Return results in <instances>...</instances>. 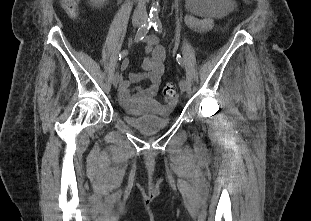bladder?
I'll return each mask as SVG.
<instances>
[{"instance_id": "1", "label": "bladder", "mask_w": 311, "mask_h": 221, "mask_svg": "<svg viewBox=\"0 0 311 221\" xmlns=\"http://www.w3.org/2000/svg\"><path fill=\"white\" fill-rule=\"evenodd\" d=\"M120 109L124 123L132 126L140 134L155 135L173 123L172 109L166 108L165 104L157 100H154L149 108L121 104Z\"/></svg>"}]
</instances>
